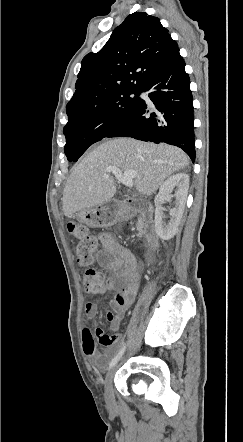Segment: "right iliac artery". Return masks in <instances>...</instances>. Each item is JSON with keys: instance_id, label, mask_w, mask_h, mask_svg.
Listing matches in <instances>:
<instances>
[{"instance_id": "obj_1", "label": "right iliac artery", "mask_w": 243, "mask_h": 442, "mask_svg": "<svg viewBox=\"0 0 243 442\" xmlns=\"http://www.w3.org/2000/svg\"><path fill=\"white\" fill-rule=\"evenodd\" d=\"M125 345L121 348V350L117 353V355L112 359L109 365V369L112 368L122 357L124 351H125Z\"/></svg>"}]
</instances>
